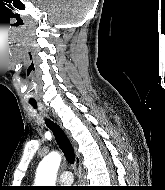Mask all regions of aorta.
I'll return each mask as SVG.
<instances>
[{"mask_svg":"<svg viewBox=\"0 0 165 190\" xmlns=\"http://www.w3.org/2000/svg\"><path fill=\"white\" fill-rule=\"evenodd\" d=\"M61 163V155L51 152L39 164L36 183L41 186H54L56 174Z\"/></svg>","mask_w":165,"mask_h":190,"instance_id":"obj_1","label":"aorta"}]
</instances>
